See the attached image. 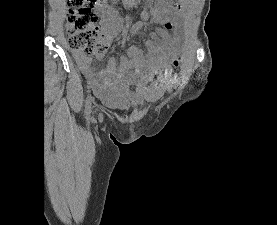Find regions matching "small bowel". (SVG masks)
<instances>
[{
    "label": "small bowel",
    "mask_w": 277,
    "mask_h": 225,
    "mask_svg": "<svg viewBox=\"0 0 277 225\" xmlns=\"http://www.w3.org/2000/svg\"><path fill=\"white\" fill-rule=\"evenodd\" d=\"M150 15L154 18L155 23L161 24L163 27L157 28L153 35L154 39L146 42L147 56L139 47L131 46L126 56L120 59L112 57L103 67L96 65L90 56H75L80 70L98 95L107 96L109 89L120 84L123 73L130 65H139L145 59L150 69L141 73L136 91L126 93L127 98L136 101L158 100L172 89L173 80L166 66L167 59L174 50L170 31L176 28L182 12L173 5L167 4L165 0H158L155 6L144 7L141 15L143 21H148ZM100 16L102 35L109 46L114 37L122 30V19L105 7L100 11ZM143 26L142 22L136 23L130 28L128 34L130 36L137 34ZM101 57V54L98 55V58ZM154 77H156L155 81L149 84Z\"/></svg>",
    "instance_id": "obj_1"
}]
</instances>
